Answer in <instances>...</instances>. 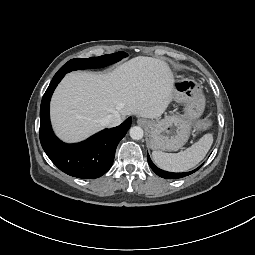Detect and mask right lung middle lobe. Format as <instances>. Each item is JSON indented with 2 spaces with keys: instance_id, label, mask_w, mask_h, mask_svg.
<instances>
[{
  "instance_id": "1",
  "label": "right lung middle lobe",
  "mask_w": 255,
  "mask_h": 255,
  "mask_svg": "<svg viewBox=\"0 0 255 255\" xmlns=\"http://www.w3.org/2000/svg\"><path fill=\"white\" fill-rule=\"evenodd\" d=\"M126 56H127L126 53L118 52V53H113L108 55H102L99 57H91L87 59L75 58V59H71L65 65H63L57 73H61V72L68 73L72 70H78V69L100 68V67H104L109 64L115 63Z\"/></svg>"
}]
</instances>
